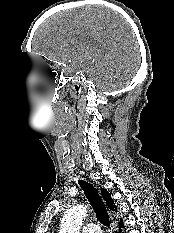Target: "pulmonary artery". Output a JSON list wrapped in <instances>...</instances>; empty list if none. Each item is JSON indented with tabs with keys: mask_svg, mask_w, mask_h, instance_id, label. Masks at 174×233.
<instances>
[{
	"mask_svg": "<svg viewBox=\"0 0 174 233\" xmlns=\"http://www.w3.org/2000/svg\"><path fill=\"white\" fill-rule=\"evenodd\" d=\"M82 233H102V232L98 224L94 222H89L82 227Z\"/></svg>",
	"mask_w": 174,
	"mask_h": 233,
	"instance_id": "e3ab8cb5",
	"label": "pulmonary artery"
}]
</instances>
